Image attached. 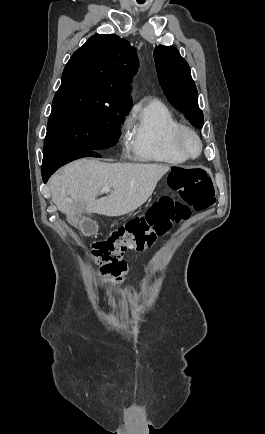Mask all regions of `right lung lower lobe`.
<instances>
[{
    "label": "right lung lower lobe",
    "mask_w": 265,
    "mask_h": 434,
    "mask_svg": "<svg viewBox=\"0 0 265 434\" xmlns=\"http://www.w3.org/2000/svg\"><path fill=\"white\" fill-rule=\"evenodd\" d=\"M83 157H101L97 151H79L56 153L43 158L42 177L46 183L49 177L61 166Z\"/></svg>",
    "instance_id": "98d812e1"
}]
</instances>
